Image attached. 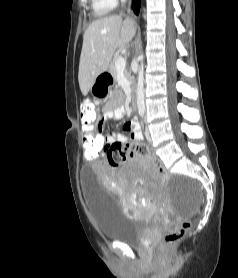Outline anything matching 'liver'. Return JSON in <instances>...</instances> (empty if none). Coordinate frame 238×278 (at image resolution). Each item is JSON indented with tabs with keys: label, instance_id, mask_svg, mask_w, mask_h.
Returning <instances> with one entry per match:
<instances>
[{
	"label": "liver",
	"instance_id": "liver-1",
	"mask_svg": "<svg viewBox=\"0 0 238 278\" xmlns=\"http://www.w3.org/2000/svg\"><path fill=\"white\" fill-rule=\"evenodd\" d=\"M136 33L135 22L111 15L93 21L83 36L78 81L86 96L96 78L105 72L117 48L123 49Z\"/></svg>",
	"mask_w": 238,
	"mask_h": 278
}]
</instances>
